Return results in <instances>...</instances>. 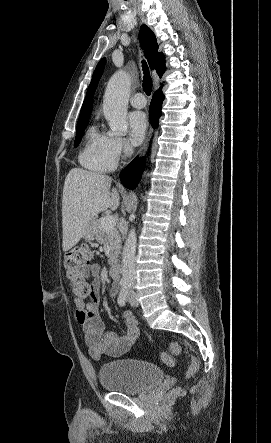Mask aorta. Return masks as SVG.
Listing matches in <instances>:
<instances>
[{"mask_svg":"<svg viewBox=\"0 0 271 443\" xmlns=\"http://www.w3.org/2000/svg\"><path fill=\"white\" fill-rule=\"evenodd\" d=\"M131 90V78L124 70L111 76L104 94L103 116L112 132H126L128 128L127 110ZM131 218H135L132 214ZM137 237L135 227H131L122 251V275L124 281H135V253Z\"/></svg>","mask_w":271,"mask_h":443,"instance_id":"obj_1","label":"aorta"}]
</instances>
